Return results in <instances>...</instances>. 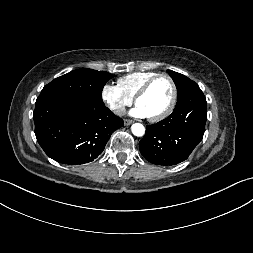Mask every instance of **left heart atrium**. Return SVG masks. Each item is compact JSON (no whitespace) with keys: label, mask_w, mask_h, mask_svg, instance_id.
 Returning a JSON list of instances; mask_svg holds the SVG:
<instances>
[{"label":"left heart atrium","mask_w":253,"mask_h":253,"mask_svg":"<svg viewBox=\"0 0 253 253\" xmlns=\"http://www.w3.org/2000/svg\"><path fill=\"white\" fill-rule=\"evenodd\" d=\"M131 116L134 117H138V118H144L147 117L146 113L144 112V110L140 107V106H136L135 108H133L130 113Z\"/></svg>","instance_id":"1"}]
</instances>
